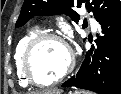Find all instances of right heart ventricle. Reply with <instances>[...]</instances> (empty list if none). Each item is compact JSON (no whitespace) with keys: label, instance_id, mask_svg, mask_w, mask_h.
Returning a JSON list of instances; mask_svg holds the SVG:
<instances>
[{"label":"right heart ventricle","instance_id":"obj_1","mask_svg":"<svg viewBox=\"0 0 121 94\" xmlns=\"http://www.w3.org/2000/svg\"><path fill=\"white\" fill-rule=\"evenodd\" d=\"M39 34V30L37 28H31L29 29L19 40L14 53V61H15V67L17 76L19 79V83L23 87L28 86V82L25 79V76L22 72V55L25 50V47L29 43L31 39H33L35 36Z\"/></svg>","mask_w":121,"mask_h":94}]
</instances>
